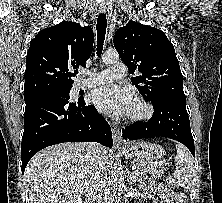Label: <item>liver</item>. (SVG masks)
<instances>
[{
	"mask_svg": "<svg viewBox=\"0 0 222 203\" xmlns=\"http://www.w3.org/2000/svg\"><path fill=\"white\" fill-rule=\"evenodd\" d=\"M108 166L110 151L99 145ZM93 167L87 144L67 142L43 149L29 161L24 183L30 203H71L89 189Z\"/></svg>",
	"mask_w": 222,
	"mask_h": 203,
	"instance_id": "obj_1",
	"label": "liver"
}]
</instances>
